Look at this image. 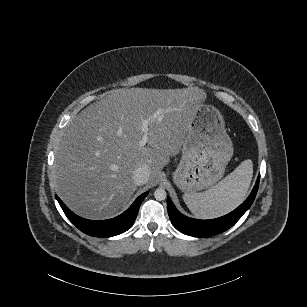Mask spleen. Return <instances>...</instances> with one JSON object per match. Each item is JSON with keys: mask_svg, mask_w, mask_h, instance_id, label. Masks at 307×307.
<instances>
[{"mask_svg": "<svg viewBox=\"0 0 307 307\" xmlns=\"http://www.w3.org/2000/svg\"><path fill=\"white\" fill-rule=\"evenodd\" d=\"M252 178L253 161L246 159L215 186L202 193H185L183 200L195 217L216 219L234 211L245 201Z\"/></svg>", "mask_w": 307, "mask_h": 307, "instance_id": "obj_1", "label": "spleen"}]
</instances>
